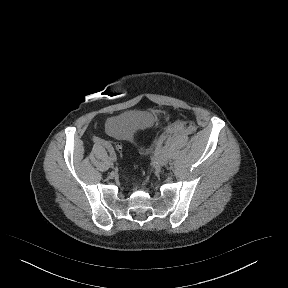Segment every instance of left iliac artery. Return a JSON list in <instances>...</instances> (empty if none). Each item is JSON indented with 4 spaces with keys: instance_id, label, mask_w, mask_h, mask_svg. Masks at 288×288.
Masks as SVG:
<instances>
[{
    "instance_id": "44dca946",
    "label": "left iliac artery",
    "mask_w": 288,
    "mask_h": 288,
    "mask_svg": "<svg viewBox=\"0 0 288 288\" xmlns=\"http://www.w3.org/2000/svg\"><path fill=\"white\" fill-rule=\"evenodd\" d=\"M159 153H160V155H163V154L165 153V149H164V148H161V149L159 150Z\"/></svg>"
}]
</instances>
